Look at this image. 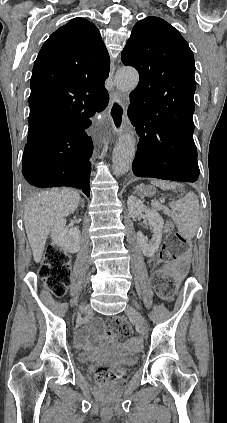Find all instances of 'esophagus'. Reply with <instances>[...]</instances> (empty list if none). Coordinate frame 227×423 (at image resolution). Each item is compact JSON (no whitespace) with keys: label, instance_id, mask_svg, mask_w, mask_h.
<instances>
[{"label":"esophagus","instance_id":"esophagus-1","mask_svg":"<svg viewBox=\"0 0 227 423\" xmlns=\"http://www.w3.org/2000/svg\"><path fill=\"white\" fill-rule=\"evenodd\" d=\"M124 113L125 107L121 98L116 93L112 94L108 106V117L111 118L113 125L118 123L120 129L124 126ZM114 128L117 129L118 127L115 126Z\"/></svg>","mask_w":227,"mask_h":423}]
</instances>
